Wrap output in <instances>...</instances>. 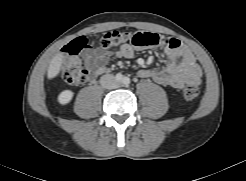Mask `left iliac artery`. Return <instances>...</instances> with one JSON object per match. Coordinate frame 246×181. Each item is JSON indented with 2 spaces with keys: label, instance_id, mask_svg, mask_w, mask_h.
<instances>
[{
  "label": "left iliac artery",
  "instance_id": "left-iliac-artery-1",
  "mask_svg": "<svg viewBox=\"0 0 246 181\" xmlns=\"http://www.w3.org/2000/svg\"><path fill=\"white\" fill-rule=\"evenodd\" d=\"M123 83H124L125 85L130 84V79H129L128 77H124V78H123Z\"/></svg>",
  "mask_w": 246,
  "mask_h": 181
}]
</instances>
